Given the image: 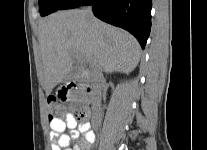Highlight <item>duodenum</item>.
<instances>
[{
    "mask_svg": "<svg viewBox=\"0 0 207 150\" xmlns=\"http://www.w3.org/2000/svg\"><path fill=\"white\" fill-rule=\"evenodd\" d=\"M68 87L70 89H81L85 92L86 95L92 96L95 93V86L94 85H89V84H83L78 80H71L67 83ZM83 116L85 118L89 117L91 115L90 108L86 107L82 111Z\"/></svg>",
    "mask_w": 207,
    "mask_h": 150,
    "instance_id": "duodenum-1",
    "label": "duodenum"
}]
</instances>
